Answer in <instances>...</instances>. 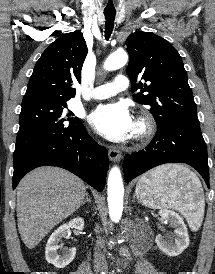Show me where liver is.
Masks as SVG:
<instances>
[{"label":"liver","instance_id":"6515ba94","mask_svg":"<svg viewBox=\"0 0 215 274\" xmlns=\"http://www.w3.org/2000/svg\"><path fill=\"white\" fill-rule=\"evenodd\" d=\"M86 195L84 182L58 167H40L28 173L17 187V222L29 249L61 221L73 214Z\"/></svg>","mask_w":215,"mask_h":274}]
</instances>
